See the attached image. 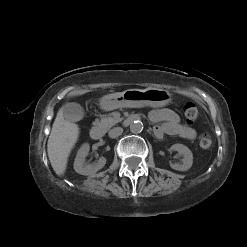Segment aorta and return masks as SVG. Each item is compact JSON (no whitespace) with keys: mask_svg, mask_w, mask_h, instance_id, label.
Here are the masks:
<instances>
[{"mask_svg":"<svg viewBox=\"0 0 247 247\" xmlns=\"http://www.w3.org/2000/svg\"><path fill=\"white\" fill-rule=\"evenodd\" d=\"M143 130V123L141 121H134L130 124V131L133 134L141 133Z\"/></svg>","mask_w":247,"mask_h":247,"instance_id":"1","label":"aorta"}]
</instances>
